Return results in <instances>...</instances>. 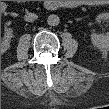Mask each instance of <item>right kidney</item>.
Returning <instances> with one entry per match:
<instances>
[{
	"mask_svg": "<svg viewBox=\"0 0 109 109\" xmlns=\"http://www.w3.org/2000/svg\"><path fill=\"white\" fill-rule=\"evenodd\" d=\"M12 33H13V30L10 28L5 30V34L3 38L1 39V52L2 53L6 52L9 49L11 38H12Z\"/></svg>",
	"mask_w": 109,
	"mask_h": 109,
	"instance_id": "ca27d5eb",
	"label": "right kidney"
}]
</instances>
